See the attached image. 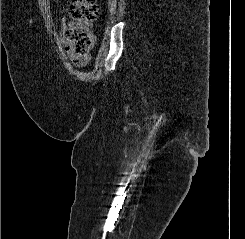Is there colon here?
I'll return each mask as SVG.
<instances>
[{"label": "colon", "mask_w": 245, "mask_h": 239, "mask_svg": "<svg viewBox=\"0 0 245 239\" xmlns=\"http://www.w3.org/2000/svg\"><path fill=\"white\" fill-rule=\"evenodd\" d=\"M68 13L70 21L64 31L68 48L76 56H88L96 42L92 24L99 15V6L95 0H69Z\"/></svg>", "instance_id": "colon-1"}]
</instances>
